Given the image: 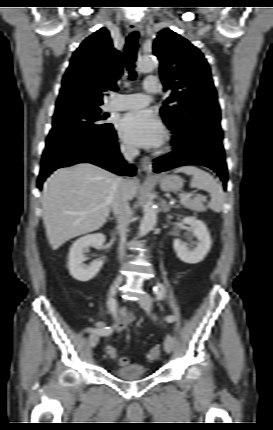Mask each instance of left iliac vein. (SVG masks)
<instances>
[{
	"instance_id": "1",
	"label": "left iliac vein",
	"mask_w": 273,
	"mask_h": 430,
	"mask_svg": "<svg viewBox=\"0 0 273 430\" xmlns=\"http://www.w3.org/2000/svg\"><path fill=\"white\" fill-rule=\"evenodd\" d=\"M140 306L146 311L150 312L152 306V299L148 293H144L139 297ZM174 346V338L170 335L166 336L164 348L167 353H171Z\"/></svg>"
}]
</instances>
